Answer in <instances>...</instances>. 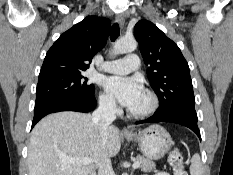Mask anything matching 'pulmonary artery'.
Masks as SVG:
<instances>
[{"instance_id":"obj_1","label":"pulmonary artery","mask_w":233,"mask_h":175,"mask_svg":"<svg viewBox=\"0 0 233 175\" xmlns=\"http://www.w3.org/2000/svg\"><path fill=\"white\" fill-rule=\"evenodd\" d=\"M140 59L137 54H129L126 58L106 61L102 68L106 72L127 74L139 68Z\"/></svg>"}]
</instances>
